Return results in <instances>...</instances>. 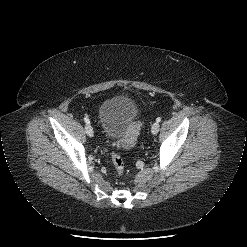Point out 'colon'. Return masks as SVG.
Instances as JSON below:
<instances>
[{
	"mask_svg": "<svg viewBox=\"0 0 247 247\" xmlns=\"http://www.w3.org/2000/svg\"><path fill=\"white\" fill-rule=\"evenodd\" d=\"M112 163L114 165L115 170L119 175H122L124 172L125 164L122 156L116 152L112 153Z\"/></svg>",
	"mask_w": 247,
	"mask_h": 247,
	"instance_id": "obj_1",
	"label": "colon"
}]
</instances>
